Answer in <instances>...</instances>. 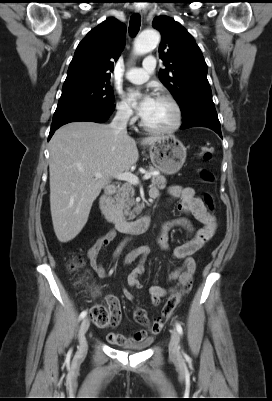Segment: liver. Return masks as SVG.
<instances>
[{"mask_svg": "<svg viewBox=\"0 0 272 401\" xmlns=\"http://www.w3.org/2000/svg\"><path fill=\"white\" fill-rule=\"evenodd\" d=\"M159 137H147L151 145ZM50 210L60 242L73 240L85 226L94 200L118 173L139 158L130 136L115 135L110 125L72 122L59 128L49 143ZM101 173L96 178L95 173Z\"/></svg>", "mask_w": 272, "mask_h": 401, "instance_id": "6515ba94", "label": "liver"}]
</instances>
